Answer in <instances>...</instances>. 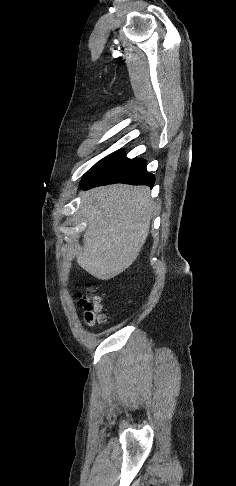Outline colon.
Segmentation results:
<instances>
[{"instance_id": "obj_1", "label": "colon", "mask_w": 236, "mask_h": 486, "mask_svg": "<svg viewBox=\"0 0 236 486\" xmlns=\"http://www.w3.org/2000/svg\"><path fill=\"white\" fill-rule=\"evenodd\" d=\"M79 303L84 310V319L90 326L103 324L106 320L101 312L100 297L95 295L90 288L78 294Z\"/></svg>"}]
</instances>
